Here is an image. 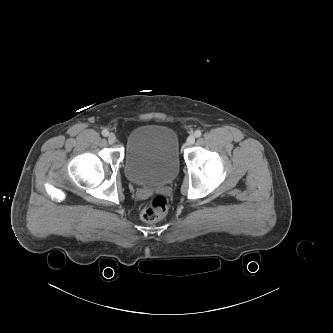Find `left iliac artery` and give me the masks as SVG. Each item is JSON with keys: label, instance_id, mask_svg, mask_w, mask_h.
<instances>
[{"label": "left iliac artery", "instance_id": "44dca946", "mask_svg": "<svg viewBox=\"0 0 333 333\" xmlns=\"http://www.w3.org/2000/svg\"><path fill=\"white\" fill-rule=\"evenodd\" d=\"M194 135H195L196 138H198L202 135V133H201L200 130H197V131H195Z\"/></svg>", "mask_w": 333, "mask_h": 333}]
</instances>
